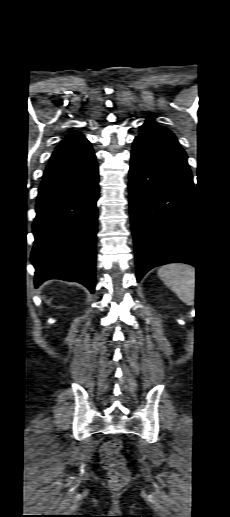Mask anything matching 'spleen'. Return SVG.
<instances>
[{
	"label": "spleen",
	"instance_id": "3e777b00",
	"mask_svg": "<svg viewBox=\"0 0 230 517\" xmlns=\"http://www.w3.org/2000/svg\"><path fill=\"white\" fill-rule=\"evenodd\" d=\"M159 278L187 305L194 303L195 269L185 264H170L158 270Z\"/></svg>",
	"mask_w": 230,
	"mask_h": 517
}]
</instances>
